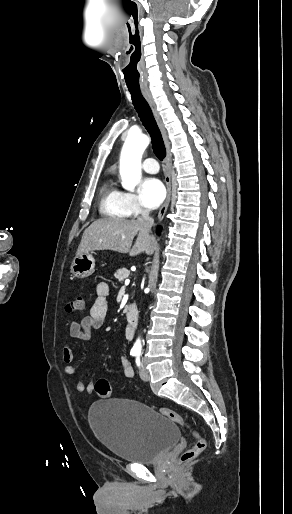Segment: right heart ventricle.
Segmentation results:
<instances>
[{
    "mask_svg": "<svg viewBox=\"0 0 292 514\" xmlns=\"http://www.w3.org/2000/svg\"><path fill=\"white\" fill-rule=\"evenodd\" d=\"M99 211L108 218H121L127 213L123 202L122 191L106 179L99 188Z\"/></svg>",
    "mask_w": 292,
    "mask_h": 514,
    "instance_id": "right-heart-ventricle-1",
    "label": "right heart ventricle"
}]
</instances>
